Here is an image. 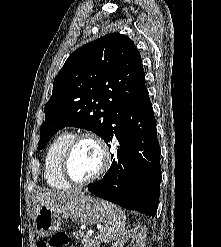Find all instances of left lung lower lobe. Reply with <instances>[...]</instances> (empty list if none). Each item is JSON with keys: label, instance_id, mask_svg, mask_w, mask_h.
I'll use <instances>...</instances> for the list:
<instances>
[{"label": "left lung lower lobe", "instance_id": "1", "mask_svg": "<svg viewBox=\"0 0 221 247\" xmlns=\"http://www.w3.org/2000/svg\"><path fill=\"white\" fill-rule=\"evenodd\" d=\"M156 120L150 99L121 109L104 141H118L103 179L88 185L96 196L154 217L159 203L161 166ZM110 147V145H108Z\"/></svg>", "mask_w": 221, "mask_h": 247}]
</instances>
